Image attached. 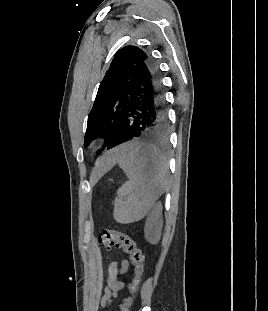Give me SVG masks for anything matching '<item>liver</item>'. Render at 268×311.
I'll return each mask as SVG.
<instances>
[{"instance_id":"obj_1","label":"liver","mask_w":268,"mask_h":311,"mask_svg":"<svg viewBox=\"0 0 268 311\" xmlns=\"http://www.w3.org/2000/svg\"><path fill=\"white\" fill-rule=\"evenodd\" d=\"M118 149L108 152L101 161L97 164L95 168V173H102L112 167L117 160Z\"/></svg>"}]
</instances>
